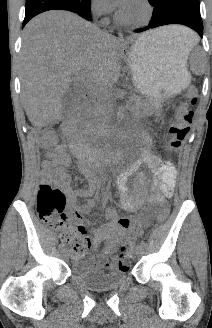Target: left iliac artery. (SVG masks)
Segmentation results:
<instances>
[{
  "mask_svg": "<svg viewBox=\"0 0 212 328\" xmlns=\"http://www.w3.org/2000/svg\"><path fill=\"white\" fill-rule=\"evenodd\" d=\"M140 245L143 246V247H145V246H146V242L142 240V241L140 242Z\"/></svg>",
  "mask_w": 212,
  "mask_h": 328,
  "instance_id": "left-iliac-artery-1",
  "label": "left iliac artery"
}]
</instances>
